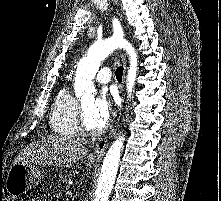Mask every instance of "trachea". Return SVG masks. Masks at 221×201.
I'll list each match as a JSON object with an SVG mask.
<instances>
[{
  "label": "trachea",
  "mask_w": 221,
  "mask_h": 201,
  "mask_svg": "<svg viewBox=\"0 0 221 201\" xmlns=\"http://www.w3.org/2000/svg\"><path fill=\"white\" fill-rule=\"evenodd\" d=\"M115 74H116V78L119 82L122 81V76H123V67L122 66H119L116 71H115Z\"/></svg>",
  "instance_id": "3493384b"
}]
</instances>
